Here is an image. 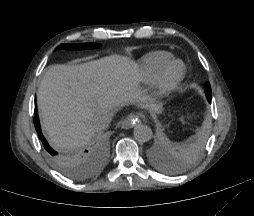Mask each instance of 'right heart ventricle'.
<instances>
[{
    "label": "right heart ventricle",
    "mask_w": 254,
    "mask_h": 216,
    "mask_svg": "<svg viewBox=\"0 0 254 216\" xmlns=\"http://www.w3.org/2000/svg\"><path fill=\"white\" fill-rule=\"evenodd\" d=\"M172 59V55L165 51H154L144 55L139 62L138 79L148 84L156 80L162 67Z\"/></svg>",
    "instance_id": "e07e8e85"
}]
</instances>
